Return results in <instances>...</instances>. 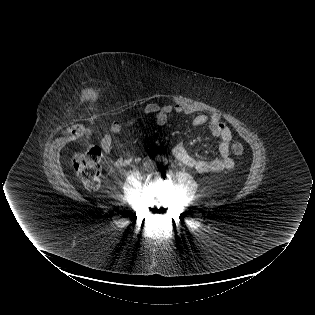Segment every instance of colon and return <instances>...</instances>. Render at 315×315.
<instances>
[{
  "mask_svg": "<svg viewBox=\"0 0 315 315\" xmlns=\"http://www.w3.org/2000/svg\"><path fill=\"white\" fill-rule=\"evenodd\" d=\"M76 133L85 135L86 130L84 128H78L76 129ZM231 150L237 157L242 156L244 152V148L239 142H233ZM102 151L100 142L99 144L91 145L85 149L77 150L73 155L76 174L84 186L89 190H95L100 185L102 175Z\"/></svg>",
  "mask_w": 315,
  "mask_h": 315,
  "instance_id": "1",
  "label": "colon"
}]
</instances>
